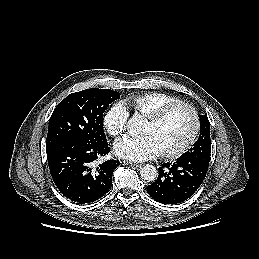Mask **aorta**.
<instances>
[{
  "label": "aorta",
  "mask_w": 259,
  "mask_h": 259,
  "mask_svg": "<svg viewBox=\"0 0 259 259\" xmlns=\"http://www.w3.org/2000/svg\"><path fill=\"white\" fill-rule=\"evenodd\" d=\"M142 118L139 114H134L127 122V129L131 135H137L141 132ZM140 176L145 181H154L158 177V171L155 166L146 164L140 169Z\"/></svg>",
  "instance_id": "aorta-1"
}]
</instances>
